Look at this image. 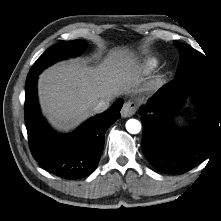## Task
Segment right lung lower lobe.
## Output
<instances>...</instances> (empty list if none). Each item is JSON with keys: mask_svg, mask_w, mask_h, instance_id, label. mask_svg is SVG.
Listing matches in <instances>:
<instances>
[{"mask_svg": "<svg viewBox=\"0 0 221 221\" xmlns=\"http://www.w3.org/2000/svg\"><path fill=\"white\" fill-rule=\"evenodd\" d=\"M37 76L26 80L25 123L31 153L47 171L65 179H79L98 165L106 130L121 117L122 100L91 118L74 133H55L42 117L37 99Z\"/></svg>", "mask_w": 221, "mask_h": 221, "instance_id": "right-lung-lower-lobe-1", "label": "right lung lower lobe"}]
</instances>
